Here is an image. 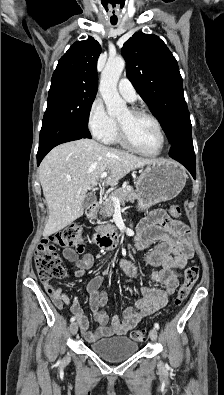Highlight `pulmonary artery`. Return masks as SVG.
I'll return each mask as SVG.
<instances>
[{
	"label": "pulmonary artery",
	"instance_id": "pulmonary-artery-1",
	"mask_svg": "<svg viewBox=\"0 0 224 395\" xmlns=\"http://www.w3.org/2000/svg\"><path fill=\"white\" fill-rule=\"evenodd\" d=\"M118 91L120 95L130 103H133L137 99V93L132 83L126 79L122 78L118 82Z\"/></svg>",
	"mask_w": 224,
	"mask_h": 395
}]
</instances>
